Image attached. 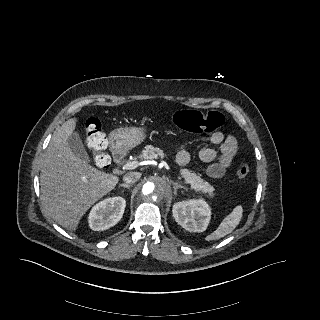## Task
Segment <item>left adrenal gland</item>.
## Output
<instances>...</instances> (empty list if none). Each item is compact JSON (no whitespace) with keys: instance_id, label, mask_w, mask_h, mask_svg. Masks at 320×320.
I'll list each match as a JSON object with an SVG mask.
<instances>
[{"instance_id":"a2214340","label":"left adrenal gland","mask_w":320,"mask_h":320,"mask_svg":"<svg viewBox=\"0 0 320 320\" xmlns=\"http://www.w3.org/2000/svg\"><path fill=\"white\" fill-rule=\"evenodd\" d=\"M171 183L173 184V188H174L175 193H177V190H178V189L187 190V187L182 186V185H180V184H178V183H176V182H173V181H172Z\"/></svg>"}]
</instances>
